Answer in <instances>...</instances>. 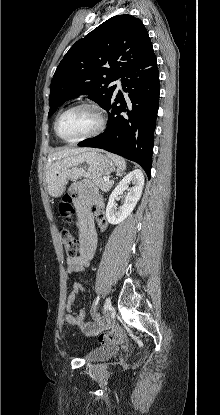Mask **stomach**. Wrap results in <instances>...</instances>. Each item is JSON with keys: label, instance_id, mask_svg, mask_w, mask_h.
Wrapping results in <instances>:
<instances>
[{"label": "stomach", "instance_id": "obj_1", "mask_svg": "<svg viewBox=\"0 0 220 415\" xmlns=\"http://www.w3.org/2000/svg\"><path fill=\"white\" fill-rule=\"evenodd\" d=\"M113 171L115 165L107 156L96 150H86L53 163L46 172L47 189L51 196L59 197L64 193L68 180L97 179Z\"/></svg>", "mask_w": 220, "mask_h": 415}]
</instances>
